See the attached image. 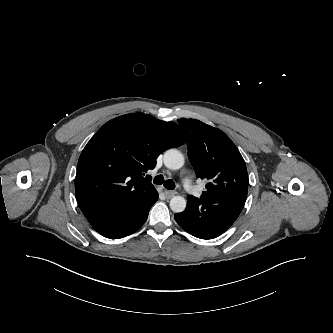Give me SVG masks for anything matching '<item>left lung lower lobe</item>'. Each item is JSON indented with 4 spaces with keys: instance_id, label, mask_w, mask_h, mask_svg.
Returning a JSON list of instances; mask_svg holds the SVG:
<instances>
[{
    "instance_id": "left-lung-lower-lobe-1",
    "label": "left lung lower lobe",
    "mask_w": 333,
    "mask_h": 333,
    "mask_svg": "<svg viewBox=\"0 0 333 333\" xmlns=\"http://www.w3.org/2000/svg\"><path fill=\"white\" fill-rule=\"evenodd\" d=\"M248 185L219 189L200 199L188 196L187 207L174 215L176 222L188 233L201 239H213L224 233L241 213Z\"/></svg>"
}]
</instances>
